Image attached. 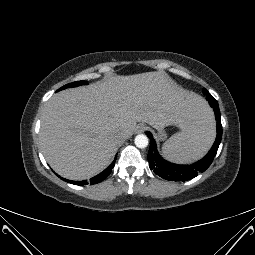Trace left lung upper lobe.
<instances>
[{"label": "left lung upper lobe", "mask_w": 255, "mask_h": 255, "mask_svg": "<svg viewBox=\"0 0 255 255\" xmlns=\"http://www.w3.org/2000/svg\"><path fill=\"white\" fill-rule=\"evenodd\" d=\"M203 94H204V95H208L209 92H208L206 89H203Z\"/></svg>", "instance_id": "left-lung-upper-lobe-1"}]
</instances>
